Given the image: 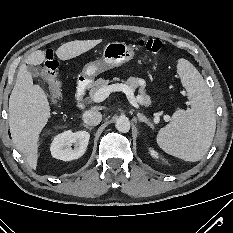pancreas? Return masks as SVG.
<instances>
[{"label":"pancreas","instance_id":"pancreas-1","mask_svg":"<svg viewBox=\"0 0 233 233\" xmlns=\"http://www.w3.org/2000/svg\"><path fill=\"white\" fill-rule=\"evenodd\" d=\"M114 80L119 81V78H114ZM110 83L109 80H105L102 78L97 79L96 81H93L90 85V91L89 96L92 99L93 95L102 87L108 86ZM125 85H127L133 92L136 90V88L139 87V97H138V103L140 105L148 107L151 104V98L148 96L145 92V86L146 83L141 78H135L130 77L128 80L124 81Z\"/></svg>","mask_w":233,"mask_h":233}]
</instances>
